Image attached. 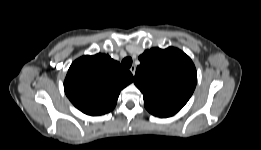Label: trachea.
<instances>
[{
  "label": "trachea",
  "mask_w": 261,
  "mask_h": 150,
  "mask_svg": "<svg viewBox=\"0 0 261 150\" xmlns=\"http://www.w3.org/2000/svg\"><path fill=\"white\" fill-rule=\"evenodd\" d=\"M122 65H123L125 68H130L131 65H132V58H131V57H125V58L122 60Z\"/></svg>",
  "instance_id": "1"
}]
</instances>
